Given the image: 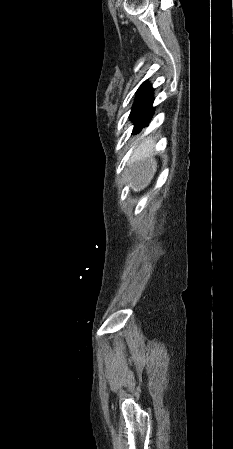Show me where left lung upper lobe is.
Wrapping results in <instances>:
<instances>
[{
    "label": "left lung upper lobe",
    "mask_w": 233,
    "mask_h": 449,
    "mask_svg": "<svg viewBox=\"0 0 233 449\" xmlns=\"http://www.w3.org/2000/svg\"><path fill=\"white\" fill-rule=\"evenodd\" d=\"M147 82L148 81L143 82L137 90L136 100L129 116L130 120L134 122V130L139 128L146 113L152 107L154 89Z\"/></svg>",
    "instance_id": "left-lung-upper-lobe-1"
}]
</instances>
